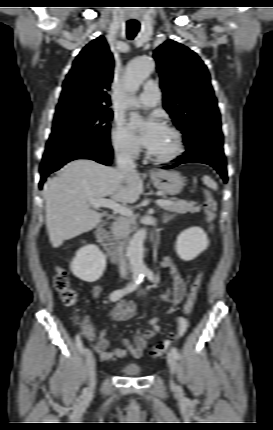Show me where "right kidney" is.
I'll return each mask as SVG.
<instances>
[{"label": "right kidney", "mask_w": 273, "mask_h": 430, "mask_svg": "<svg viewBox=\"0 0 273 430\" xmlns=\"http://www.w3.org/2000/svg\"><path fill=\"white\" fill-rule=\"evenodd\" d=\"M71 272L80 280L94 283L100 279L106 268V257L94 244L80 248L71 262Z\"/></svg>", "instance_id": "obj_1"}]
</instances>
